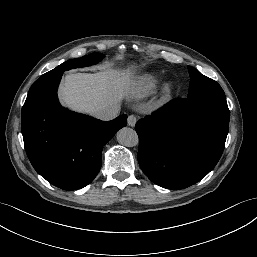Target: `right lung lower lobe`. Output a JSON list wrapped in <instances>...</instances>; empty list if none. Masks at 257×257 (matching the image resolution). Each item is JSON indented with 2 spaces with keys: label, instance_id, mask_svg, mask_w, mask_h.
<instances>
[{
  "label": "right lung lower lobe",
  "instance_id": "98d812e1",
  "mask_svg": "<svg viewBox=\"0 0 257 257\" xmlns=\"http://www.w3.org/2000/svg\"><path fill=\"white\" fill-rule=\"evenodd\" d=\"M62 74L42 75L31 86L22 108V135L34 169L70 191L92 182L101 168L104 144L127 125V115L101 121L62 108L57 98Z\"/></svg>",
  "mask_w": 257,
  "mask_h": 257
}]
</instances>
